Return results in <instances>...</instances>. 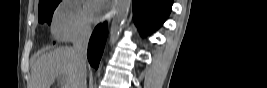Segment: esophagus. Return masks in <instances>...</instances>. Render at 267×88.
Listing matches in <instances>:
<instances>
[{"label": "esophagus", "instance_id": "1", "mask_svg": "<svg viewBox=\"0 0 267 88\" xmlns=\"http://www.w3.org/2000/svg\"><path fill=\"white\" fill-rule=\"evenodd\" d=\"M113 8L109 11V13L106 15V19L107 20H110L111 18H112V16H113Z\"/></svg>", "mask_w": 267, "mask_h": 88}]
</instances>
